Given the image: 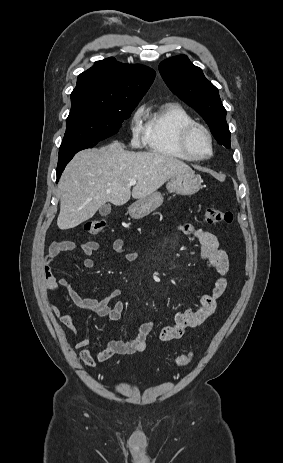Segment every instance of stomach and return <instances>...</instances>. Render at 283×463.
I'll list each match as a JSON object with an SVG mask.
<instances>
[{
    "label": "stomach",
    "instance_id": "0dacf381",
    "mask_svg": "<svg viewBox=\"0 0 283 463\" xmlns=\"http://www.w3.org/2000/svg\"><path fill=\"white\" fill-rule=\"evenodd\" d=\"M202 179L194 172L177 175L170 179L166 188L170 193L192 195L201 188ZM163 203V196L160 192L138 199L129 206V215L133 219H141L160 207Z\"/></svg>",
    "mask_w": 283,
    "mask_h": 463
}]
</instances>
